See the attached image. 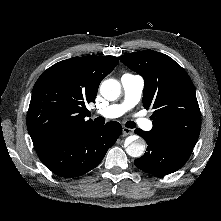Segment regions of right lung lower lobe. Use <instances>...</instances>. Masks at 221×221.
Masks as SVG:
<instances>
[{"instance_id":"98d812e1","label":"right lung lower lobe","mask_w":221,"mask_h":221,"mask_svg":"<svg viewBox=\"0 0 221 221\" xmlns=\"http://www.w3.org/2000/svg\"><path fill=\"white\" fill-rule=\"evenodd\" d=\"M121 133L122 127L118 122L103 126L94 124L61 135L36 151L42 163L54 174L66 178L78 177L102 161Z\"/></svg>"}]
</instances>
